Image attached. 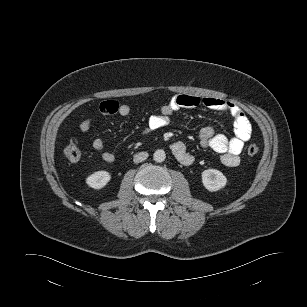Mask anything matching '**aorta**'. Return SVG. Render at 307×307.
<instances>
[{"mask_svg":"<svg viewBox=\"0 0 307 307\" xmlns=\"http://www.w3.org/2000/svg\"><path fill=\"white\" fill-rule=\"evenodd\" d=\"M153 158L156 162H163L166 159L165 151L162 149H158L154 152Z\"/></svg>","mask_w":307,"mask_h":307,"instance_id":"aorta-1","label":"aorta"}]
</instances>
